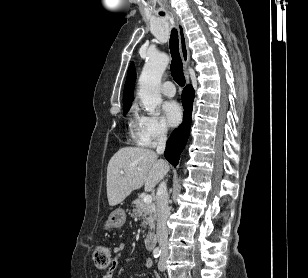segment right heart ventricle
Here are the masks:
<instances>
[{"instance_id": "right-heart-ventricle-1", "label": "right heart ventricle", "mask_w": 308, "mask_h": 278, "mask_svg": "<svg viewBox=\"0 0 308 278\" xmlns=\"http://www.w3.org/2000/svg\"><path fill=\"white\" fill-rule=\"evenodd\" d=\"M137 120H138V116H137L136 112L133 111V112H132V115H131V118H130V123H129V125H130V128H131V129L135 130V132H136Z\"/></svg>"}]
</instances>
